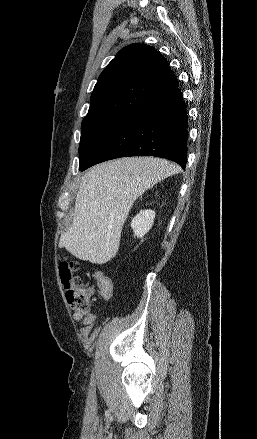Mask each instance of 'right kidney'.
<instances>
[{
  "label": "right kidney",
  "instance_id": "obj_1",
  "mask_svg": "<svg viewBox=\"0 0 257 439\" xmlns=\"http://www.w3.org/2000/svg\"><path fill=\"white\" fill-rule=\"evenodd\" d=\"M155 212L153 210H141L131 221L134 235L141 238L152 228Z\"/></svg>",
  "mask_w": 257,
  "mask_h": 439
}]
</instances>
